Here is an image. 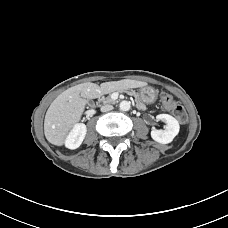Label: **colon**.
<instances>
[{"instance_id":"obj_1","label":"colon","mask_w":228,"mask_h":228,"mask_svg":"<svg viewBox=\"0 0 228 228\" xmlns=\"http://www.w3.org/2000/svg\"><path fill=\"white\" fill-rule=\"evenodd\" d=\"M160 99L163 104V107L167 111L172 113L179 122L184 123L186 121V111L177 101H175V99L171 95L162 93L160 95Z\"/></svg>"}]
</instances>
